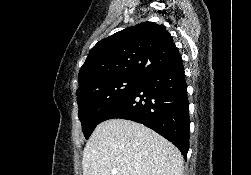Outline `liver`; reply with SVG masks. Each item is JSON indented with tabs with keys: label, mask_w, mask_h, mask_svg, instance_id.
<instances>
[{
	"label": "liver",
	"mask_w": 251,
	"mask_h": 175,
	"mask_svg": "<svg viewBox=\"0 0 251 175\" xmlns=\"http://www.w3.org/2000/svg\"><path fill=\"white\" fill-rule=\"evenodd\" d=\"M82 167L83 175H182L184 169L171 141L130 119L99 123L84 147Z\"/></svg>",
	"instance_id": "6515ba94"
}]
</instances>
